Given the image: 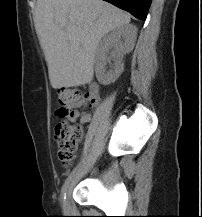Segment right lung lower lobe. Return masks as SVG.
Segmentation results:
<instances>
[{
  "label": "right lung lower lobe",
  "instance_id": "obj_1",
  "mask_svg": "<svg viewBox=\"0 0 202 217\" xmlns=\"http://www.w3.org/2000/svg\"><path fill=\"white\" fill-rule=\"evenodd\" d=\"M123 10L130 12L140 20H146L152 0H104Z\"/></svg>",
  "mask_w": 202,
  "mask_h": 217
}]
</instances>
